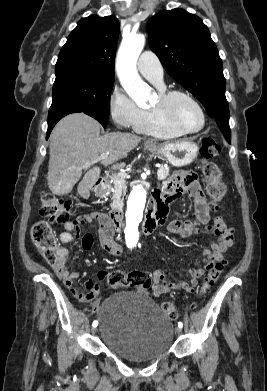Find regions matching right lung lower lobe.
<instances>
[{
  "label": "right lung lower lobe",
  "mask_w": 267,
  "mask_h": 391,
  "mask_svg": "<svg viewBox=\"0 0 267 391\" xmlns=\"http://www.w3.org/2000/svg\"><path fill=\"white\" fill-rule=\"evenodd\" d=\"M75 112H84L87 115L98 120L102 124L103 127H106V120L108 118L104 117L103 115H101L95 111H91V110H83V109H79V108H68V109L62 110V111L48 117V130H47L46 139H48L53 127L62 117L66 116L70 113H75Z\"/></svg>",
  "instance_id": "98d812e1"
}]
</instances>
